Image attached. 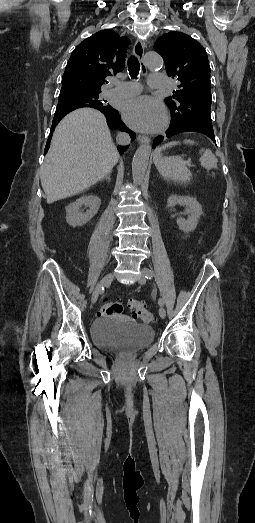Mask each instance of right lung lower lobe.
<instances>
[{
  "instance_id": "obj_1",
  "label": "right lung lower lobe",
  "mask_w": 255,
  "mask_h": 523,
  "mask_svg": "<svg viewBox=\"0 0 255 523\" xmlns=\"http://www.w3.org/2000/svg\"><path fill=\"white\" fill-rule=\"evenodd\" d=\"M134 139H135V134H134V137L132 138V140H134ZM46 151H47V150H46Z\"/></svg>"
}]
</instances>
